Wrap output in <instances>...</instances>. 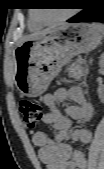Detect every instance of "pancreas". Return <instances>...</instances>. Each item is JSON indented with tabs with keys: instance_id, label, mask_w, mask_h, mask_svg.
<instances>
[{
	"instance_id": "1",
	"label": "pancreas",
	"mask_w": 104,
	"mask_h": 169,
	"mask_svg": "<svg viewBox=\"0 0 104 169\" xmlns=\"http://www.w3.org/2000/svg\"><path fill=\"white\" fill-rule=\"evenodd\" d=\"M83 60L77 59L72 63L68 68L69 77L74 79H80L81 77L86 76L87 68L82 66Z\"/></svg>"
}]
</instances>
